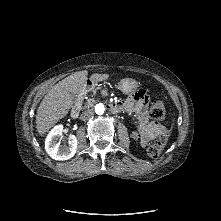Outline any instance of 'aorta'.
<instances>
[{"label": "aorta", "mask_w": 221, "mask_h": 221, "mask_svg": "<svg viewBox=\"0 0 221 221\" xmlns=\"http://www.w3.org/2000/svg\"><path fill=\"white\" fill-rule=\"evenodd\" d=\"M105 111V107L103 104L99 103L95 106V113L98 115H102Z\"/></svg>", "instance_id": "1"}]
</instances>
